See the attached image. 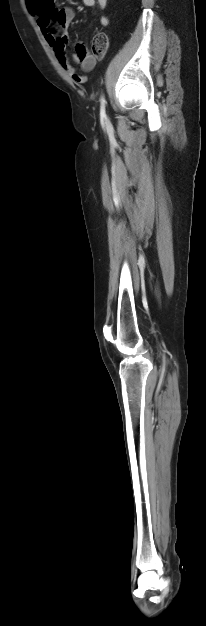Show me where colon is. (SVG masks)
Returning a JSON list of instances; mask_svg holds the SVG:
<instances>
[{"label":"colon","instance_id":"5ec220e1","mask_svg":"<svg viewBox=\"0 0 206 626\" xmlns=\"http://www.w3.org/2000/svg\"><path fill=\"white\" fill-rule=\"evenodd\" d=\"M108 45L109 42L107 35L102 32L97 33L92 40V55L96 59H102L108 51ZM81 80L84 82L86 80V77L82 76Z\"/></svg>","mask_w":206,"mask_h":626}]
</instances>
